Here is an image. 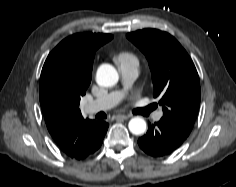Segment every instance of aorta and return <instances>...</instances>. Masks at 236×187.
<instances>
[{
  "instance_id": "762f6f07",
  "label": "aorta",
  "mask_w": 236,
  "mask_h": 187,
  "mask_svg": "<svg viewBox=\"0 0 236 187\" xmlns=\"http://www.w3.org/2000/svg\"><path fill=\"white\" fill-rule=\"evenodd\" d=\"M119 75L117 70L110 64H102L96 73V82L103 87H111L117 84ZM129 130L134 135L144 134L146 122L141 117H134L129 121Z\"/></svg>"
}]
</instances>
